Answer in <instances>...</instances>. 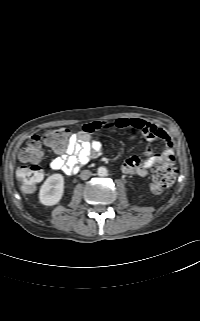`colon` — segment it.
Returning <instances> with one entry per match:
<instances>
[{
    "label": "colon",
    "mask_w": 200,
    "mask_h": 321,
    "mask_svg": "<svg viewBox=\"0 0 200 321\" xmlns=\"http://www.w3.org/2000/svg\"><path fill=\"white\" fill-rule=\"evenodd\" d=\"M69 136L70 131L67 128L59 127L48 130L44 134L43 140L51 148L61 150L66 146ZM19 156L22 161L31 164L17 170V179L25 193H32L43 178V171L38 164L42 156L40 137L31 136L22 147ZM176 174L174 156L168 153L161 158L153 172L151 190L156 194L163 192L174 183Z\"/></svg>",
    "instance_id": "1"
}]
</instances>
